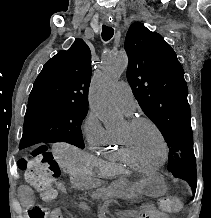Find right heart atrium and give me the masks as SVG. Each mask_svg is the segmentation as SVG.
Masks as SVG:
<instances>
[{
	"instance_id": "obj_1",
	"label": "right heart atrium",
	"mask_w": 211,
	"mask_h": 218,
	"mask_svg": "<svg viewBox=\"0 0 211 218\" xmlns=\"http://www.w3.org/2000/svg\"><path fill=\"white\" fill-rule=\"evenodd\" d=\"M81 131L91 148L97 147L106 134V129L102 125L98 115L89 110L81 123Z\"/></svg>"
}]
</instances>
